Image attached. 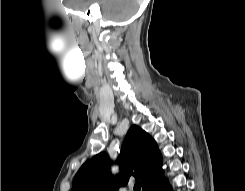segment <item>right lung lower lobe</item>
<instances>
[{
    "instance_id": "right-lung-lower-lobe-1",
    "label": "right lung lower lobe",
    "mask_w": 245,
    "mask_h": 191,
    "mask_svg": "<svg viewBox=\"0 0 245 191\" xmlns=\"http://www.w3.org/2000/svg\"><path fill=\"white\" fill-rule=\"evenodd\" d=\"M143 191H173L163 174Z\"/></svg>"
}]
</instances>
